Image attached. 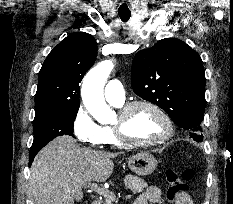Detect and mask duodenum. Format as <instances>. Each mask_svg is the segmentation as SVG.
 I'll return each instance as SVG.
<instances>
[{"instance_id": "410a0bca", "label": "duodenum", "mask_w": 233, "mask_h": 204, "mask_svg": "<svg viewBox=\"0 0 233 204\" xmlns=\"http://www.w3.org/2000/svg\"><path fill=\"white\" fill-rule=\"evenodd\" d=\"M90 204H100L98 201H92Z\"/></svg>"}]
</instances>
